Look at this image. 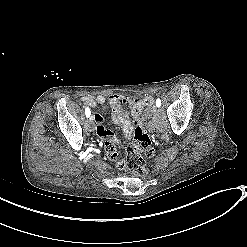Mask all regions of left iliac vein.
I'll return each instance as SVG.
<instances>
[{"instance_id":"left-iliac-vein-1","label":"left iliac vein","mask_w":247,"mask_h":247,"mask_svg":"<svg viewBox=\"0 0 247 247\" xmlns=\"http://www.w3.org/2000/svg\"><path fill=\"white\" fill-rule=\"evenodd\" d=\"M156 110H157V107H156V106H154V107H153V110H152V111H153V113H155V112H156Z\"/></svg>"}]
</instances>
